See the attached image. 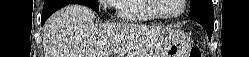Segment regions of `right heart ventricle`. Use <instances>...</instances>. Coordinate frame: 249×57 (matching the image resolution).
Here are the masks:
<instances>
[{"label": "right heart ventricle", "mask_w": 249, "mask_h": 57, "mask_svg": "<svg viewBox=\"0 0 249 57\" xmlns=\"http://www.w3.org/2000/svg\"><path fill=\"white\" fill-rule=\"evenodd\" d=\"M116 6L121 18L127 21H149L155 18L147 8V0H120Z\"/></svg>", "instance_id": "obj_1"}]
</instances>
